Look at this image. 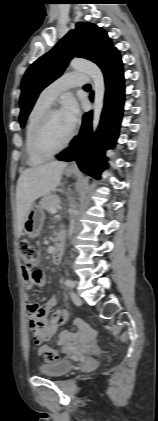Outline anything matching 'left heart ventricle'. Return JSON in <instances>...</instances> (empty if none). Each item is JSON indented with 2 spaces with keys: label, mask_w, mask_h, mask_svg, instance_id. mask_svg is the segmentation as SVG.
I'll return each instance as SVG.
<instances>
[{
  "label": "left heart ventricle",
  "mask_w": 158,
  "mask_h": 421,
  "mask_svg": "<svg viewBox=\"0 0 158 421\" xmlns=\"http://www.w3.org/2000/svg\"><path fill=\"white\" fill-rule=\"evenodd\" d=\"M60 111L51 115L44 133V143L47 148L55 149L62 145L71 132Z\"/></svg>",
  "instance_id": "obj_1"
}]
</instances>
